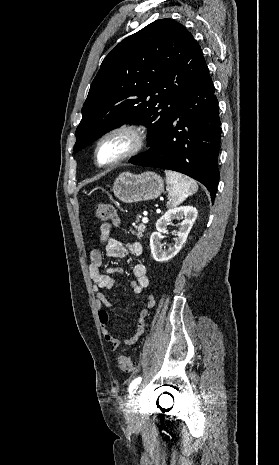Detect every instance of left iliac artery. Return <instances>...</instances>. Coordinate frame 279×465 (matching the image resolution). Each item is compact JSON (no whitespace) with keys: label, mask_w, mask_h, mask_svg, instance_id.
<instances>
[{"label":"left iliac artery","mask_w":279,"mask_h":465,"mask_svg":"<svg viewBox=\"0 0 279 465\" xmlns=\"http://www.w3.org/2000/svg\"><path fill=\"white\" fill-rule=\"evenodd\" d=\"M142 378L141 377H137L136 379H134L130 386H129V393L132 394V391L140 384Z\"/></svg>","instance_id":"left-iliac-artery-1"}]
</instances>
